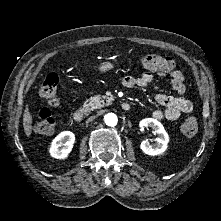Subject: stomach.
<instances>
[{
  "label": "stomach",
  "mask_w": 221,
  "mask_h": 221,
  "mask_svg": "<svg viewBox=\"0 0 221 221\" xmlns=\"http://www.w3.org/2000/svg\"><path fill=\"white\" fill-rule=\"evenodd\" d=\"M112 68H113V64H112V63H110V62H104V63H102V64L99 66L98 70H99L100 72H102V73H105V72L110 71Z\"/></svg>",
  "instance_id": "0dacf381"
}]
</instances>
